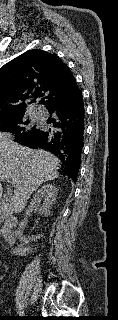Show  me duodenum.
Returning <instances> with one entry per match:
<instances>
[{
	"label": "duodenum",
	"instance_id": "410a0bca",
	"mask_svg": "<svg viewBox=\"0 0 118 320\" xmlns=\"http://www.w3.org/2000/svg\"><path fill=\"white\" fill-rule=\"evenodd\" d=\"M17 225V220L13 217L6 216L2 218L0 223V237L8 244H13L16 240L14 229Z\"/></svg>",
	"mask_w": 118,
	"mask_h": 320
}]
</instances>
